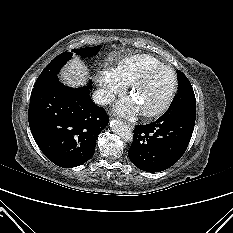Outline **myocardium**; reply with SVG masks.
<instances>
[{
  "label": "myocardium",
  "mask_w": 233,
  "mask_h": 233,
  "mask_svg": "<svg viewBox=\"0 0 233 233\" xmlns=\"http://www.w3.org/2000/svg\"><path fill=\"white\" fill-rule=\"evenodd\" d=\"M157 71H167L172 75V84L171 87L165 97V99L155 108L150 109V110H140V114L146 118H153L156 116L161 115L164 113L167 108L170 106L176 90H177V85H178V79L175 71L170 68L169 66L166 65H161V66H155L151 67L147 70H145L143 73H141L131 84H130V90L129 93L131 96H133L135 90L142 85L153 73Z\"/></svg>",
  "instance_id": "f54148a6"
}]
</instances>
